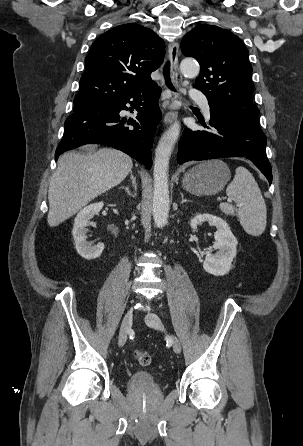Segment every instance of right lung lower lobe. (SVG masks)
Here are the masks:
<instances>
[{
    "label": "right lung lower lobe",
    "instance_id": "1",
    "mask_svg": "<svg viewBox=\"0 0 303 446\" xmlns=\"http://www.w3.org/2000/svg\"><path fill=\"white\" fill-rule=\"evenodd\" d=\"M160 93L156 85L128 97L74 111L65 121V133L56 149L55 160L68 150L97 143L121 150L149 169L150 149L161 118ZM127 103L138 111L136 119L120 117L121 110H128Z\"/></svg>",
    "mask_w": 303,
    "mask_h": 446
}]
</instances>
